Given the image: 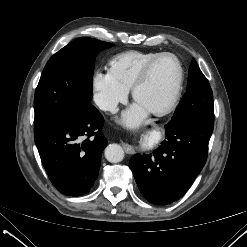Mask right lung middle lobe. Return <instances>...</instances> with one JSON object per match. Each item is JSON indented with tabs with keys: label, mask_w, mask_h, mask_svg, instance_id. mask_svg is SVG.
Here are the masks:
<instances>
[{
	"label": "right lung middle lobe",
	"mask_w": 247,
	"mask_h": 247,
	"mask_svg": "<svg viewBox=\"0 0 247 247\" xmlns=\"http://www.w3.org/2000/svg\"><path fill=\"white\" fill-rule=\"evenodd\" d=\"M113 44L78 38L47 62L34 97V133L90 105L95 57Z\"/></svg>",
	"instance_id": "1"
}]
</instances>
